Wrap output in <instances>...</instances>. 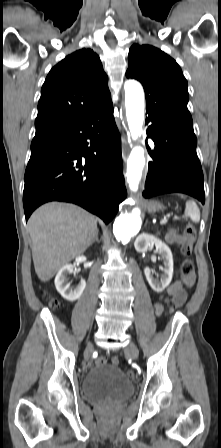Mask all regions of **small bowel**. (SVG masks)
I'll use <instances>...</instances> for the list:
<instances>
[{
	"label": "small bowel",
	"instance_id": "small-bowel-1",
	"mask_svg": "<svg viewBox=\"0 0 221 448\" xmlns=\"http://www.w3.org/2000/svg\"><path fill=\"white\" fill-rule=\"evenodd\" d=\"M166 240L170 244H178V243H182L183 236H181L177 231L171 230L167 233ZM194 280H195V277L193 275L187 286H192L194 284ZM185 299H186V293L184 292L180 281L174 282L172 285H170L167 288V297L164 299V301H169V300L176 301L177 300L182 304L185 301ZM154 310H155L156 315H160L163 310L162 302H156L154 304Z\"/></svg>",
	"mask_w": 221,
	"mask_h": 448
}]
</instances>
